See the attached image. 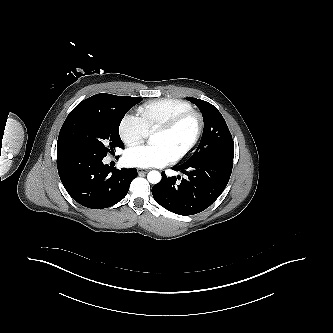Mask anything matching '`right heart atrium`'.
<instances>
[{
  "instance_id": "obj_1",
  "label": "right heart atrium",
  "mask_w": 333,
  "mask_h": 333,
  "mask_svg": "<svg viewBox=\"0 0 333 333\" xmlns=\"http://www.w3.org/2000/svg\"><path fill=\"white\" fill-rule=\"evenodd\" d=\"M118 132L127 146L142 143L149 133L140 117L134 114H126L122 117Z\"/></svg>"
}]
</instances>
